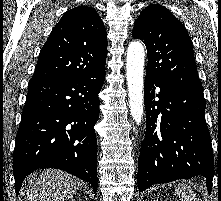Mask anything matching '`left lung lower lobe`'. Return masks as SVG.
<instances>
[{
	"instance_id": "left-lung-lower-lobe-1",
	"label": "left lung lower lobe",
	"mask_w": 221,
	"mask_h": 201,
	"mask_svg": "<svg viewBox=\"0 0 221 201\" xmlns=\"http://www.w3.org/2000/svg\"><path fill=\"white\" fill-rule=\"evenodd\" d=\"M144 96L146 134L138 158L139 191L201 175L211 193L214 157L203 92L169 86L146 75Z\"/></svg>"
}]
</instances>
